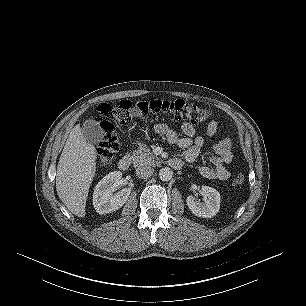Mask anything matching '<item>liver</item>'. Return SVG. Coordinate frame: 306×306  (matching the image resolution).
Returning <instances> with one entry per match:
<instances>
[{
	"mask_svg": "<svg viewBox=\"0 0 306 306\" xmlns=\"http://www.w3.org/2000/svg\"><path fill=\"white\" fill-rule=\"evenodd\" d=\"M97 152L77 124L70 132L61 153L56 175V191L67 209L85 216L90 185L96 171Z\"/></svg>",
	"mask_w": 306,
	"mask_h": 306,
	"instance_id": "1",
	"label": "liver"
}]
</instances>
